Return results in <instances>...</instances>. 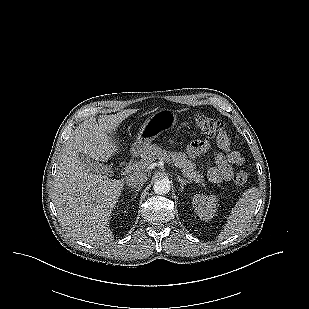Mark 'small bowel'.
<instances>
[{
  "label": "small bowel",
  "mask_w": 309,
  "mask_h": 309,
  "mask_svg": "<svg viewBox=\"0 0 309 309\" xmlns=\"http://www.w3.org/2000/svg\"><path fill=\"white\" fill-rule=\"evenodd\" d=\"M217 146L220 151L215 152V166L208 170V178L213 183L229 181L233 176V166L244 164L245 158L237 150L232 149L231 141L225 132L217 136ZM210 145L206 141H195L189 146L190 154L208 152Z\"/></svg>",
  "instance_id": "1"
}]
</instances>
